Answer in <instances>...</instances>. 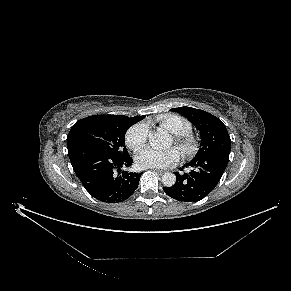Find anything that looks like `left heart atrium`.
<instances>
[{
    "instance_id": "left-heart-atrium-1",
    "label": "left heart atrium",
    "mask_w": 291,
    "mask_h": 291,
    "mask_svg": "<svg viewBox=\"0 0 291 291\" xmlns=\"http://www.w3.org/2000/svg\"><path fill=\"white\" fill-rule=\"evenodd\" d=\"M179 157V151L174 147L163 150L146 147L138 152L136 162L142 168L164 169L176 164Z\"/></svg>"
}]
</instances>
